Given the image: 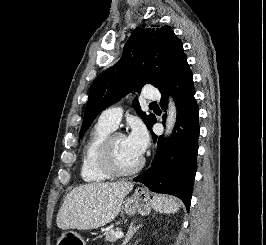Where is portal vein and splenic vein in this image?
Listing matches in <instances>:
<instances>
[{"label":"portal vein and splenic vein","instance_id":"portal-vein-and-splenic-vein-1","mask_svg":"<svg viewBox=\"0 0 266 245\" xmlns=\"http://www.w3.org/2000/svg\"><path fill=\"white\" fill-rule=\"evenodd\" d=\"M117 239H122L124 237V233H116Z\"/></svg>","mask_w":266,"mask_h":245}]
</instances>
